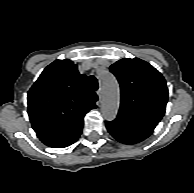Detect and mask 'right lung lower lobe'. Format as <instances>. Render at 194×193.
Here are the masks:
<instances>
[{
  "mask_svg": "<svg viewBox=\"0 0 194 193\" xmlns=\"http://www.w3.org/2000/svg\"><path fill=\"white\" fill-rule=\"evenodd\" d=\"M82 127L83 121H80L63 132L41 138L40 140L49 147L64 148L73 144L79 138Z\"/></svg>",
  "mask_w": 194,
  "mask_h": 193,
  "instance_id": "98d812e1",
  "label": "right lung lower lobe"
}]
</instances>
